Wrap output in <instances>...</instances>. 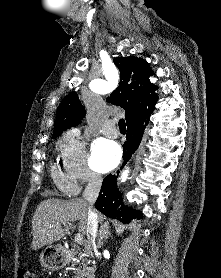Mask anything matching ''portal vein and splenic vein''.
<instances>
[{
    "mask_svg": "<svg viewBox=\"0 0 221 278\" xmlns=\"http://www.w3.org/2000/svg\"><path fill=\"white\" fill-rule=\"evenodd\" d=\"M63 225L66 226L67 223L63 222ZM75 242L78 244H83L85 242L83 235H81V234L75 235Z\"/></svg>",
    "mask_w": 221,
    "mask_h": 278,
    "instance_id": "obj_1",
    "label": "portal vein and splenic vein"
}]
</instances>
